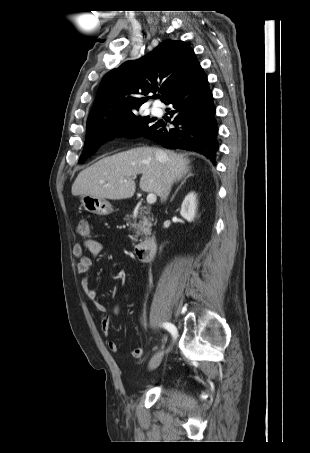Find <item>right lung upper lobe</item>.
Instances as JSON below:
<instances>
[{
    "mask_svg": "<svg viewBox=\"0 0 310 453\" xmlns=\"http://www.w3.org/2000/svg\"><path fill=\"white\" fill-rule=\"evenodd\" d=\"M200 68L193 50L182 41L160 43L147 56L127 61L102 79L87 128L139 109L151 92L161 90L166 103Z\"/></svg>",
    "mask_w": 310,
    "mask_h": 453,
    "instance_id": "cb5924a9",
    "label": "right lung upper lobe"
}]
</instances>
